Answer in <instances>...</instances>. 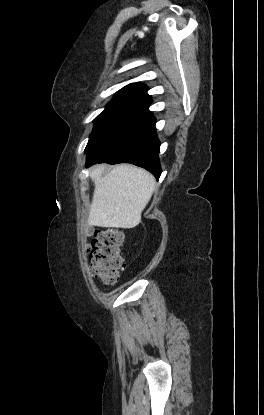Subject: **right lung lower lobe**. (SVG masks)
Returning a JSON list of instances; mask_svg holds the SVG:
<instances>
[{
	"instance_id": "98d812e1",
	"label": "right lung lower lobe",
	"mask_w": 264,
	"mask_h": 415,
	"mask_svg": "<svg viewBox=\"0 0 264 415\" xmlns=\"http://www.w3.org/2000/svg\"><path fill=\"white\" fill-rule=\"evenodd\" d=\"M144 101L114 123L92 146L85 149L86 167L95 163H132L143 167L158 179L160 142L156 120Z\"/></svg>"
}]
</instances>
